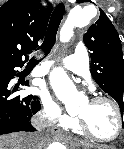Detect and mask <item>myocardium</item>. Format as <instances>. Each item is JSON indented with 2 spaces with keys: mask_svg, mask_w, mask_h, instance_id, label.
Returning <instances> with one entry per match:
<instances>
[{
  "mask_svg": "<svg viewBox=\"0 0 124 149\" xmlns=\"http://www.w3.org/2000/svg\"><path fill=\"white\" fill-rule=\"evenodd\" d=\"M89 102L91 104H96V103H108L111 105V107L114 109L115 115L117 117V132L116 134L111 137V138H102L97 136L88 126L86 120L82 116H77V124L79 129L89 138L93 139L94 141L100 142V143H112L115 142L120 138V136L124 132V114L119 106V104L113 100L110 97L106 96H94L92 97Z\"/></svg>",
  "mask_w": 124,
  "mask_h": 149,
  "instance_id": "myocardium-1",
  "label": "myocardium"
}]
</instances>
